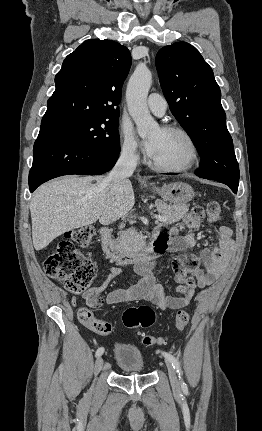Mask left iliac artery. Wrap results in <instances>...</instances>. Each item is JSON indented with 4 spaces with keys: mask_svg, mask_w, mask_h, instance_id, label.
Returning a JSON list of instances; mask_svg holds the SVG:
<instances>
[{
    "mask_svg": "<svg viewBox=\"0 0 262 431\" xmlns=\"http://www.w3.org/2000/svg\"><path fill=\"white\" fill-rule=\"evenodd\" d=\"M162 355L172 364L173 368L176 370V372L179 374V377H180L182 372H181L180 362L178 361V359L169 353L162 352ZM181 385L183 388L186 387L184 382H182Z\"/></svg>",
    "mask_w": 262,
    "mask_h": 431,
    "instance_id": "1",
    "label": "left iliac artery"
}]
</instances>
